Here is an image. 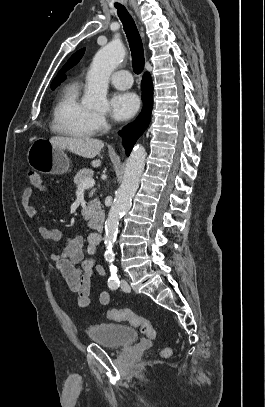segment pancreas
Returning <instances> with one entry per match:
<instances>
[{
    "label": "pancreas",
    "instance_id": "1",
    "mask_svg": "<svg viewBox=\"0 0 265 407\" xmlns=\"http://www.w3.org/2000/svg\"><path fill=\"white\" fill-rule=\"evenodd\" d=\"M93 174H94V172L91 169H82V170L78 171L77 174L75 175L74 183L77 185V187H79L80 184L82 183V181H84L86 179H92ZM99 208H100V201L98 198H95L94 200L89 202L87 208H85L83 210V214L85 216H89V215H87L88 212H92Z\"/></svg>",
    "mask_w": 265,
    "mask_h": 407
}]
</instances>
